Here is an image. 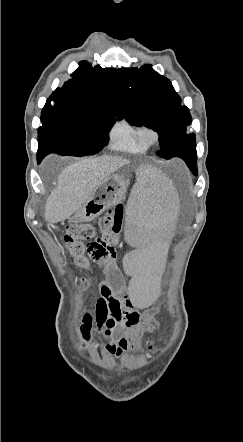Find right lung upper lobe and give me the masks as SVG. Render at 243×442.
Masks as SVG:
<instances>
[{
    "label": "right lung upper lobe",
    "mask_w": 243,
    "mask_h": 442,
    "mask_svg": "<svg viewBox=\"0 0 243 442\" xmlns=\"http://www.w3.org/2000/svg\"><path fill=\"white\" fill-rule=\"evenodd\" d=\"M73 78L57 88L49 102L65 106L82 114L107 115L116 121L119 95V77L116 69L92 67L86 61L71 75Z\"/></svg>",
    "instance_id": "right-lung-upper-lobe-1"
}]
</instances>
